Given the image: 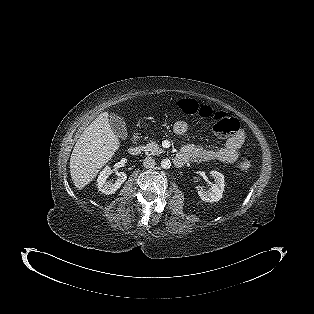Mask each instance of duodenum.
<instances>
[{
	"mask_svg": "<svg viewBox=\"0 0 314 314\" xmlns=\"http://www.w3.org/2000/svg\"><path fill=\"white\" fill-rule=\"evenodd\" d=\"M142 152V144H141V137L139 135L134 136L133 143L129 148V153L133 156H137ZM186 163L185 157L182 155H177L174 158V164L177 167H182Z\"/></svg>",
	"mask_w": 314,
	"mask_h": 314,
	"instance_id": "410a0bca",
	"label": "duodenum"
}]
</instances>
